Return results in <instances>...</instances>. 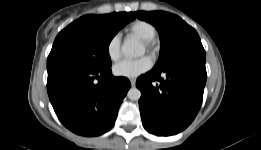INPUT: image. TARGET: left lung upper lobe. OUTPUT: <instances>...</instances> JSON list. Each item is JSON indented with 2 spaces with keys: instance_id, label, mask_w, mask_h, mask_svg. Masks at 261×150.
Returning a JSON list of instances; mask_svg holds the SVG:
<instances>
[{
  "instance_id": "obj_1",
  "label": "left lung upper lobe",
  "mask_w": 261,
  "mask_h": 150,
  "mask_svg": "<svg viewBox=\"0 0 261 150\" xmlns=\"http://www.w3.org/2000/svg\"><path fill=\"white\" fill-rule=\"evenodd\" d=\"M135 16L156 27L161 40V50L156 66L165 64L179 50L201 43L197 32L178 16L164 11H138Z\"/></svg>"
}]
</instances>
